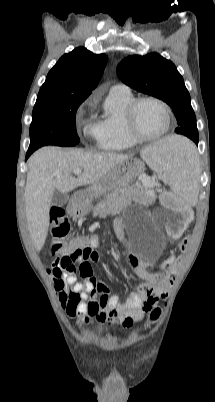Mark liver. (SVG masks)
<instances>
[{"mask_svg": "<svg viewBox=\"0 0 215 402\" xmlns=\"http://www.w3.org/2000/svg\"><path fill=\"white\" fill-rule=\"evenodd\" d=\"M128 155L93 153L79 149L63 151L47 146L37 150L28 161L25 186L27 226L36 251L44 246L49 229L52 196L57 189L68 193L79 186L94 184ZM83 170L77 178L71 174Z\"/></svg>", "mask_w": 215, "mask_h": 402, "instance_id": "liver-1", "label": "liver"}]
</instances>
